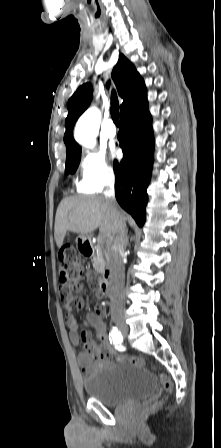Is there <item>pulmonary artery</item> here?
Segmentation results:
<instances>
[{
    "instance_id": "pulmonary-artery-1",
    "label": "pulmonary artery",
    "mask_w": 221,
    "mask_h": 448,
    "mask_svg": "<svg viewBox=\"0 0 221 448\" xmlns=\"http://www.w3.org/2000/svg\"><path fill=\"white\" fill-rule=\"evenodd\" d=\"M106 135L108 136L109 139H114L117 135V129L111 120L108 121L107 123Z\"/></svg>"
}]
</instances>
